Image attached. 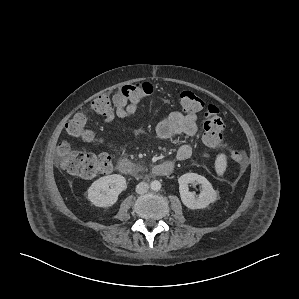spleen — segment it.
<instances>
[{
    "label": "spleen",
    "mask_w": 299,
    "mask_h": 299,
    "mask_svg": "<svg viewBox=\"0 0 299 299\" xmlns=\"http://www.w3.org/2000/svg\"><path fill=\"white\" fill-rule=\"evenodd\" d=\"M227 166V158L225 154H219L215 161V168L218 175H223Z\"/></svg>",
    "instance_id": "spleen-1"
}]
</instances>
